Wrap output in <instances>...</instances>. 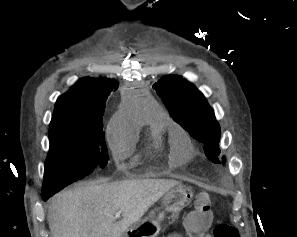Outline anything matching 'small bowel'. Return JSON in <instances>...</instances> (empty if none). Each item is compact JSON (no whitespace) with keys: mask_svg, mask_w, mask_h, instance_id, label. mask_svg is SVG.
I'll use <instances>...</instances> for the list:
<instances>
[{"mask_svg":"<svg viewBox=\"0 0 297 237\" xmlns=\"http://www.w3.org/2000/svg\"><path fill=\"white\" fill-rule=\"evenodd\" d=\"M206 237H211L210 235H206Z\"/></svg>","mask_w":297,"mask_h":237,"instance_id":"small-bowel-1","label":"small bowel"}]
</instances>
